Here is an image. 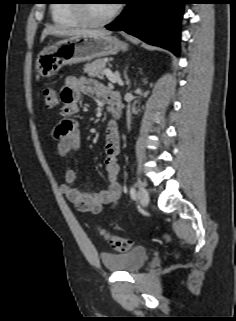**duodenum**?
I'll use <instances>...</instances> for the list:
<instances>
[{"instance_id": "obj_1", "label": "duodenum", "mask_w": 236, "mask_h": 321, "mask_svg": "<svg viewBox=\"0 0 236 321\" xmlns=\"http://www.w3.org/2000/svg\"><path fill=\"white\" fill-rule=\"evenodd\" d=\"M109 110L112 114V117L115 119H120L122 116V104L120 100V96L113 95L109 99Z\"/></svg>"}]
</instances>
